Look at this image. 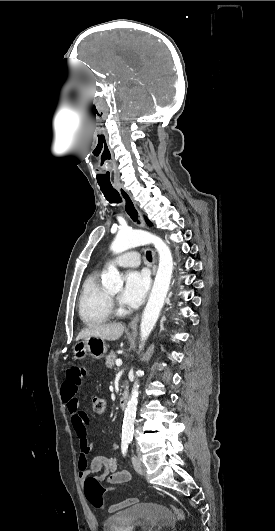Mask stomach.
Instances as JSON below:
<instances>
[{"label":"stomach","mask_w":275,"mask_h":531,"mask_svg":"<svg viewBox=\"0 0 275 531\" xmlns=\"http://www.w3.org/2000/svg\"><path fill=\"white\" fill-rule=\"evenodd\" d=\"M107 353V345L104 339L100 337H88V339H80L75 343L73 350H68V361H83L86 357L92 359H102Z\"/></svg>","instance_id":"stomach-1"}]
</instances>
